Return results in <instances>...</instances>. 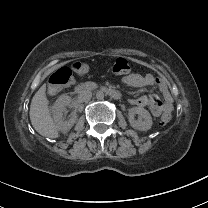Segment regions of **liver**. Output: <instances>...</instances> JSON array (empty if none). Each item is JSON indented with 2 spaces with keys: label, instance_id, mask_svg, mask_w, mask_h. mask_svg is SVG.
Returning a JSON list of instances; mask_svg holds the SVG:
<instances>
[{
  "label": "liver",
  "instance_id": "liver-1",
  "mask_svg": "<svg viewBox=\"0 0 208 208\" xmlns=\"http://www.w3.org/2000/svg\"><path fill=\"white\" fill-rule=\"evenodd\" d=\"M47 83L35 93L32 98L29 117L33 128L43 137L57 139L59 131L55 125L50 110L49 100L46 94Z\"/></svg>",
  "mask_w": 208,
  "mask_h": 208
}]
</instances>
